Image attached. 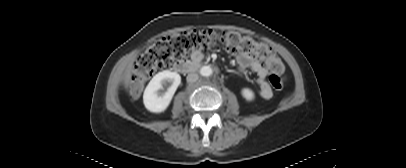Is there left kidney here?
Masks as SVG:
<instances>
[{
  "mask_svg": "<svg viewBox=\"0 0 406 168\" xmlns=\"http://www.w3.org/2000/svg\"><path fill=\"white\" fill-rule=\"evenodd\" d=\"M241 94L247 101H252L255 98L254 92L249 88H243Z\"/></svg>",
  "mask_w": 406,
  "mask_h": 168,
  "instance_id": "obj_1",
  "label": "left kidney"
}]
</instances>
